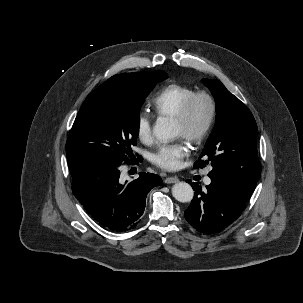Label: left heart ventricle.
<instances>
[{
	"instance_id": "b2bd125f",
	"label": "left heart ventricle",
	"mask_w": 303,
	"mask_h": 303,
	"mask_svg": "<svg viewBox=\"0 0 303 303\" xmlns=\"http://www.w3.org/2000/svg\"><path fill=\"white\" fill-rule=\"evenodd\" d=\"M208 114V103L204 98H199L191 112L190 120L187 125H182L174 121V131L176 136L186 138V136L196 133L204 124Z\"/></svg>"
}]
</instances>
